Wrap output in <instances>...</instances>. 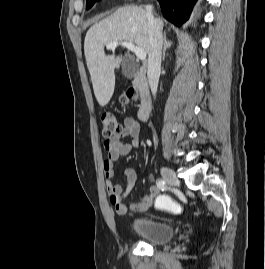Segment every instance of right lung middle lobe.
<instances>
[{
  "label": "right lung middle lobe",
  "mask_w": 265,
  "mask_h": 269,
  "mask_svg": "<svg viewBox=\"0 0 265 269\" xmlns=\"http://www.w3.org/2000/svg\"><path fill=\"white\" fill-rule=\"evenodd\" d=\"M97 1H100V0H87V9H90L93 4Z\"/></svg>",
  "instance_id": "right-lung-middle-lobe-1"
}]
</instances>
